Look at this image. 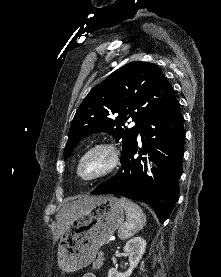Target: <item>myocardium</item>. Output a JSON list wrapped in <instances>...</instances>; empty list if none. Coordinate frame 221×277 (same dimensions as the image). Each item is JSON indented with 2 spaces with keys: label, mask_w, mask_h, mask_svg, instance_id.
<instances>
[{
  "label": "myocardium",
  "mask_w": 221,
  "mask_h": 277,
  "mask_svg": "<svg viewBox=\"0 0 221 277\" xmlns=\"http://www.w3.org/2000/svg\"><path fill=\"white\" fill-rule=\"evenodd\" d=\"M100 153L105 156V164L101 170L92 176L85 177L81 174L83 162L93 154ZM120 155L115 145L110 142H100L89 147L78 159L76 164V175L82 181L90 182L103 178L113 172L119 164Z\"/></svg>",
  "instance_id": "obj_1"
}]
</instances>
